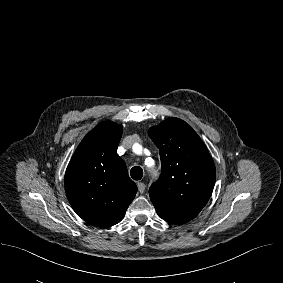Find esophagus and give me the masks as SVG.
<instances>
[{
  "label": "esophagus",
  "instance_id": "esophagus-1",
  "mask_svg": "<svg viewBox=\"0 0 283 283\" xmlns=\"http://www.w3.org/2000/svg\"><path fill=\"white\" fill-rule=\"evenodd\" d=\"M137 187H138V191L140 193H144L146 186H145V184L143 182H138L137 183Z\"/></svg>",
  "mask_w": 283,
  "mask_h": 283
}]
</instances>
